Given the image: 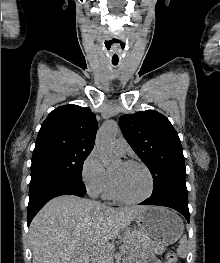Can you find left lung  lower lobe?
<instances>
[{
  "instance_id": "0a47b994",
  "label": "left lung lower lobe",
  "mask_w": 220,
  "mask_h": 263,
  "mask_svg": "<svg viewBox=\"0 0 220 263\" xmlns=\"http://www.w3.org/2000/svg\"><path fill=\"white\" fill-rule=\"evenodd\" d=\"M140 205H158L170 207L180 212L188 222L190 221L188 201H183L172 196H155L146 199L145 201L141 202Z\"/></svg>"
}]
</instances>
